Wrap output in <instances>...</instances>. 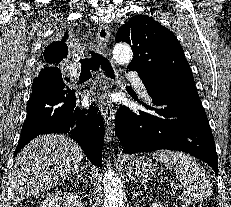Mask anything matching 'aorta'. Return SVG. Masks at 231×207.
Returning <instances> with one entry per match:
<instances>
[{
  "label": "aorta",
  "mask_w": 231,
  "mask_h": 207,
  "mask_svg": "<svg viewBox=\"0 0 231 207\" xmlns=\"http://www.w3.org/2000/svg\"><path fill=\"white\" fill-rule=\"evenodd\" d=\"M113 58L119 64H129L133 58L130 46L126 43H118L113 49ZM104 203L103 207H124L123 186L119 176L111 169L104 172Z\"/></svg>",
  "instance_id": "aorta-1"
}]
</instances>
